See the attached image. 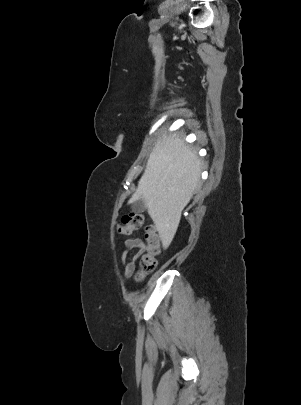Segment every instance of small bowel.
<instances>
[{
  "label": "small bowel",
  "instance_id": "1",
  "mask_svg": "<svg viewBox=\"0 0 301 405\" xmlns=\"http://www.w3.org/2000/svg\"><path fill=\"white\" fill-rule=\"evenodd\" d=\"M124 244L127 249L136 250V253L128 260L127 263H125L127 251L125 250L121 255L124 274L126 276H130L135 269L136 261L140 256V254L142 253L145 243L140 238H129L125 240Z\"/></svg>",
  "mask_w": 301,
  "mask_h": 405
}]
</instances>
